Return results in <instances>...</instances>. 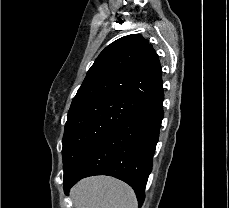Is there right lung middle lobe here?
Instances as JSON below:
<instances>
[{
    "label": "right lung middle lobe",
    "mask_w": 229,
    "mask_h": 208,
    "mask_svg": "<svg viewBox=\"0 0 229 208\" xmlns=\"http://www.w3.org/2000/svg\"><path fill=\"white\" fill-rule=\"evenodd\" d=\"M143 107L144 104L128 97L109 95L70 108L62 141L64 175L93 143Z\"/></svg>",
    "instance_id": "obj_1"
}]
</instances>
